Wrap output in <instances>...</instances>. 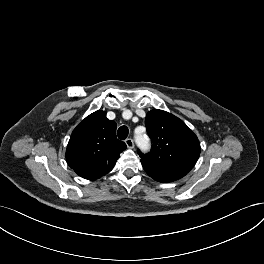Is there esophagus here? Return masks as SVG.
I'll return each mask as SVG.
<instances>
[{
	"label": "esophagus",
	"instance_id": "obj_1",
	"mask_svg": "<svg viewBox=\"0 0 264 264\" xmlns=\"http://www.w3.org/2000/svg\"><path fill=\"white\" fill-rule=\"evenodd\" d=\"M125 143H126L128 148H133L134 147V141L131 138L126 139Z\"/></svg>",
	"mask_w": 264,
	"mask_h": 264
}]
</instances>
